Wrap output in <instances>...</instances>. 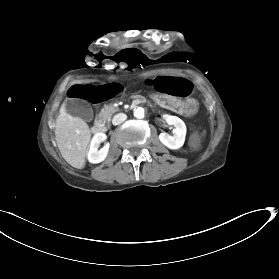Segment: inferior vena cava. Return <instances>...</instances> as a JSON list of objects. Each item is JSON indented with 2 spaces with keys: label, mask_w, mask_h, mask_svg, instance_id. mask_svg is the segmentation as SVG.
<instances>
[{
  "label": "inferior vena cava",
  "mask_w": 279,
  "mask_h": 279,
  "mask_svg": "<svg viewBox=\"0 0 279 279\" xmlns=\"http://www.w3.org/2000/svg\"><path fill=\"white\" fill-rule=\"evenodd\" d=\"M126 115L125 114H117L116 116H114L113 118V124L114 125H118L120 123H122L124 120H126Z\"/></svg>",
  "instance_id": "1"
}]
</instances>
